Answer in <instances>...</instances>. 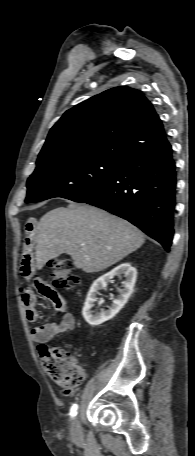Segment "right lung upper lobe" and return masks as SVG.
Segmentation results:
<instances>
[{
    "label": "right lung upper lobe",
    "mask_w": 195,
    "mask_h": 456,
    "mask_svg": "<svg viewBox=\"0 0 195 456\" xmlns=\"http://www.w3.org/2000/svg\"><path fill=\"white\" fill-rule=\"evenodd\" d=\"M167 144L161 120L145 96L115 87L66 111L50 130L37 165L62 158L121 163Z\"/></svg>",
    "instance_id": "obj_1"
}]
</instances>
